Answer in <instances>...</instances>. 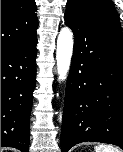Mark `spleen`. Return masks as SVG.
<instances>
[{
  "label": "spleen",
  "instance_id": "1",
  "mask_svg": "<svg viewBox=\"0 0 123 152\" xmlns=\"http://www.w3.org/2000/svg\"><path fill=\"white\" fill-rule=\"evenodd\" d=\"M95 152H120V150L110 145H99L95 147Z\"/></svg>",
  "mask_w": 123,
  "mask_h": 152
}]
</instances>
